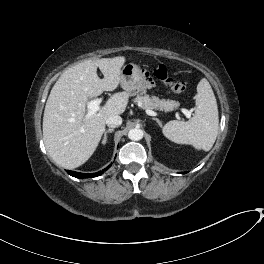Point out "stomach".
Masks as SVG:
<instances>
[{
    "label": "stomach",
    "instance_id": "obj_1",
    "mask_svg": "<svg viewBox=\"0 0 264 264\" xmlns=\"http://www.w3.org/2000/svg\"><path fill=\"white\" fill-rule=\"evenodd\" d=\"M145 82V75L140 67L134 63L125 64L120 73V85L129 94L141 91Z\"/></svg>",
    "mask_w": 264,
    "mask_h": 264
}]
</instances>
